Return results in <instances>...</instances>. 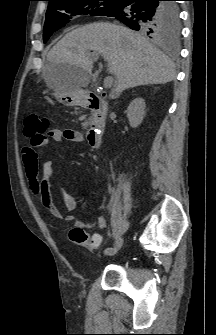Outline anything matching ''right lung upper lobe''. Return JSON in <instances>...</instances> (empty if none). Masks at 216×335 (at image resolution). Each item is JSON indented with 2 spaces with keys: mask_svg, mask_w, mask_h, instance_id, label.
<instances>
[{
  "mask_svg": "<svg viewBox=\"0 0 216 335\" xmlns=\"http://www.w3.org/2000/svg\"><path fill=\"white\" fill-rule=\"evenodd\" d=\"M47 1H49V4L52 2V1H54V0H47Z\"/></svg>",
  "mask_w": 216,
  "mask_h": 335,
  "instance_id": "obj_1",
  "label": "right lung upper lobe"
}]
</instances>
